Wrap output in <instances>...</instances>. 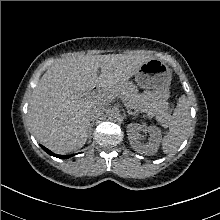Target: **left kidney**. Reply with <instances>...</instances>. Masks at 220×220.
I'll return each mask as SVG.
<instances>
[{"label": "left kidney", "instance_id": "obj_1", "mask_svg": "<svg viewBox=\"0 0 220 220\" xmlns=\"http://www.w3.org/2000/svg\"><path fill=\"white\" fill-rule=\"evenodd\" d=\"M140 131H147L149 133L151 141L148 144H142L139 141ZM127 135L131 146L136 152L144 155H153L157 152L161 140V131L159 128L154 126L143 128L140 124H129Z\"/></svg>", "mask_w": 220, "mask_h": 220}]
</instances>
